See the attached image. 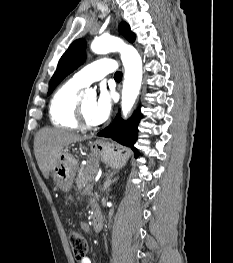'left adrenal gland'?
<instances>
[{
    "mask_svg": "<svg viewBox=\"0 0 233 263\" xmlns=\"http://www.w3.org/2000/svg\"><path fill=\"white\" fill-rule=\"evenodd\" d=\"M116 173H117V172H113V173L110 175V177L107 179V181H106V183H105V190H107L112 183H114L115 181L118 180V178L111 179V178L113 177V175L116 174Z\"/></svg>",
    "mask_w": 233,
    "mask_h": 263,
    "instance_id": "left-adrenal-gland-1",
    "label": "left adrenal gland"
}]
</instances>
